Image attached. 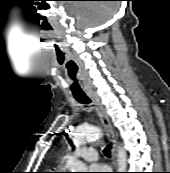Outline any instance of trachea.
Returning <instances> with one entry per match:
<instances>
[{
    "label": "trachea",
    "mask_w": 170,
    "mask_h": 173,
    "mask_svg": "<svg viewBox=\"0 0 170 173\" xmlns=\"http://www.w3.org/2000/svg\"><path fill=\"white\" fill-rule=\"evenodd\" d=\"M74 98L81 104L90 103V100L88 99V97L84 93L74 94ZM103 152L107 157H110V155H111V145H108L107 147H105Z\"/></svg>",
    "instance_id": "trachea-1"
}]
</instances>
